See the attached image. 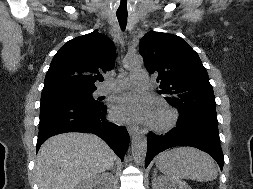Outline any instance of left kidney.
I'll use <instances>...</instances> for the list:
<instances>
[{
    "label": "left kidney",
    "mask_w": 253,
    "mask_h": 189,
    "mask_svg": "<svg viewBox=\"0 0 253 189\" xmlns=\"http://www.w3.org/2000/svg\"><path fill=\"white\" fill-rule=\"evenodd\" d=\"M153 189H191L183 180H174L165 176H159L152 181Z\"/></svg>",
    "instance_id": "1"
}]
</instances>
